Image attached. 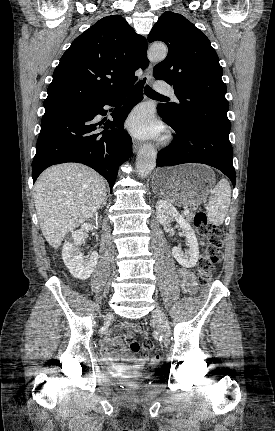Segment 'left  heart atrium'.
Segmentation results:
<instances>
[{
  "label": "left heart atrium",
  "instance_id": "39dd6f15",
  "mask_svg": "<svg viewBox=\"0 0 275 431\" xmlns=\"http://www.w3.org/2000/svg\"><path fill=\"white\" fill-rule=\"evenodd\" d=\"M126 128L138 138L156 137L162 131L161 124L147 107H139L134 110L127 119Z\"/></svg>",
  "mask_w": 275,
  "mask_h": 431
}]
</instances>
